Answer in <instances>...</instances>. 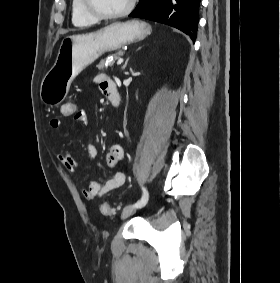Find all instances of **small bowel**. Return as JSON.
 I'll return each mask as SVG.
<instances>
[{"label":"small bowel","mask_w":280,"mask_h":283,"mask_svg":"<svg viewBox=\"0 0 280 283\" xmlns=\"http://www.w3.org/2000/svg\"><path fill=\"white\" fill-rule=\"evenodd\" d=\"M111 80L107 77H98L97 82L100 90L107 95L108 83ZM61 112V111H60ZM74 121L80 124H86L88 122V115L86 111L80 110L76 112V116H72ZM52 129H58L61 126V120L58 118H52L49 122ZM97 154L96 146L93 143L87 144V155L90 159H93ZM124 150L121 145H112L106 156V164L109 168H115L117 164L123 159ZM58 160L63 167L71 174H75L79 164L69 153H62L58 155ZM125 176L123 173L118 172L113 177L105 182L92 180L88 183L87 187L83 189V195L88 201H94L99 197L106 195L112 190L123 185Z\"/></svg>","instance_id":"obj_1"}]
</instances>
